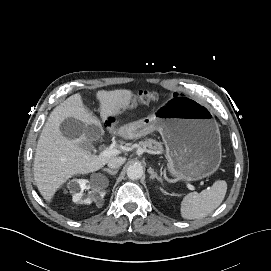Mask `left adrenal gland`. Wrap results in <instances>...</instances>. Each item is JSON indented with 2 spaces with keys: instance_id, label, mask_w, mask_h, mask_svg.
<instances>
[{
  "instance_id": "1",
  "label": "left adrenal gland",
  "mask_w": 271,
  "mask_h": 271,
  "mask_svg": "<svg viewBox=\"0 0 271 271\" xmlns=\"http://www.w3.org/2000/svg\"><path fill=\"white\" fill-rule=\"evenodd\" d=\"M148 172L151 174L150 178H151L152 180L157 179V181L160 182V183L162 184V179H161V177H159V176L157 175V173L154 172V170H153L152 168H149V169H148Z\"/></svg>"
}]
</instances>
